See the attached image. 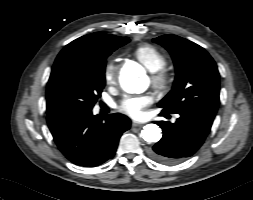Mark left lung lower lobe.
Returning <instances> with one entry per match:
<instances>
[{
  "mask_svg": "<svg viewBox=\"0 0 253 200\" xmlns=\"http://www.w3.org/2000/svg\"><path fill=\"white\" fill-rule=\"evenodd\" d=\"M170 114L162 111L160 115ZM175 123L156 122L163 131L162 139L150 150L156 161L174 164L193 155L207 137L215 114L207 111L179 112Z\"/></svg>",
  "mask_w": 253,
  "mask_h": 200,
  "instance_id": "0a47b994",
  "label": "left lung lower lobe"
}]
</instances>
